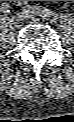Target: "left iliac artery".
<instances>
[{"mask_svg":"<svg viewBox=\"0 0 74 122\" xmlns=\"http://www.w3.org/2000/svg\"><path fill=\"white\" fill-rule=\"evenodd\" d=\"M24 12L32 15L41 16L44 19H47L53 23H55L58 19L54 11L41 6H27L24 8Z\"/></svg>","mask_w":74,"mask_h":122,"instance_id":"obj_1","label":"left iliac artery"}]
</instances>
